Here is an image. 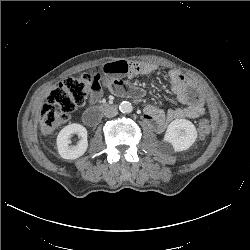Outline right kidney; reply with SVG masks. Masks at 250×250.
Listing matches in <instances>:
<instances>
[{
    "label": "right kidney",
    "instance_id": "right-kidney-1",
    "mask_svg": "<svg viewBox=\"0 0 250 250\" xmlns=\"http://www.w3.org/2000/svg\"><path fill=\"white\" fill-rule=\"evenodd\" d=\"M72 134H77L81 140L77 145H69ZM57 148L64 159L74 160L81 157L88 148L87 130L84 126L73 123L65 126L57 136Z\"/></svg>",
    "mask_w": 250,
    "mask_h": 250
}]
</instances>
